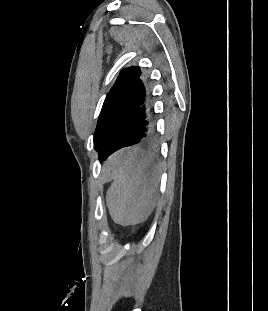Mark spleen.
I'll list each match as a JSON object with an SVG mask.
<instances>
[{"label":"spleen","mask_w":268,"mask_h":311,"mask_svg":"<svg viewBox=\"0 0 268 311\" xmlns=\"http://www.w3.org/2000/svg\"><path fill=\"white\" fill-rule=\"evenodd\" d=\"M116 157L113 182L106 194L110 216L121 226L142 223L156 206L157 162L147 149L141 151L139 144H128L126 152L121 149Z\"/></svg>","instance_id":"1"}]
</instances>
